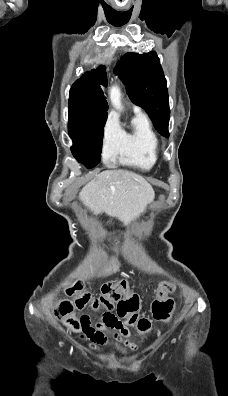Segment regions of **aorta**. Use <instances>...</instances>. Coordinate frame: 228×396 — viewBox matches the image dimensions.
<instances>
[{
  "label": "aorta",
  "mask_w": 228,
  "mask_h": 396,
  "mask_svg": "<svg viewBox=\"0 0 228 396\" xmlns=\"http://www.w3.org/2000/svg\"><path fill=\"white\" fill-rule=\"evenodd\" d=\"M109 96H110V101L111 104L115 109L118 111H122V103H121V91L120 88L117 85H114L111 87L109 91Z\"/></svg>",
  "instance_id": "1"
}]
</instances>
